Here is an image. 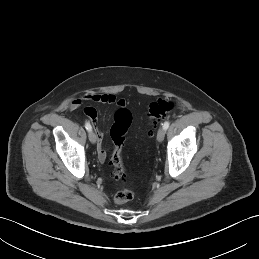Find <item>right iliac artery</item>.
<instances>
[{"instance_id": "1", "label": "right iliac artery", "mask_w": 259, "mask_h": 259, "mask_svg": "<svg viewBox=\"0 0 259 259\" xmlns=\"http://www.w3.org/2000/svg\"><path fill=\"white\" fill-rule=\"evenodd\" d=\"M85 128H86L88 131H91V130H92V127H91L90 123H88V122L85 123Z\"/></svg>"}]
</instances>
